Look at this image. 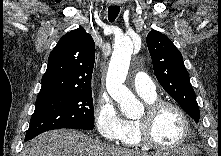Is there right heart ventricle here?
<instances>
[{
	"label": "right heart ventricle",
	"mask_w": 221,
	"mask_h": 156,
	"mask_svg": "<svg viewBox=\"0 0 221 156\" xmlns=\"http://www.w3.org/2000/svg\"><path fill=\"white\" fill-rule=\"evenodd\" d=\"M148 104L156 101V96L147 98V97H142ZM125 131L123 134V137L121 141L129 146H138L141 143L139 142L137 138V133H136V121L135 120H125Z\"/></svg>",
	"instance_id": "obj_1"
}]
</instances>
